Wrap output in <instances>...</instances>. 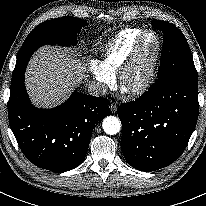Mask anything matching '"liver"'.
<instances>
[{"mask_svg":"<svg viewBox=\"0 0 206 206\" xmlns=\"http://www.w3.org/2000/svg\"><path fill=\"white\" fill-rule=\"evenodd\" d=\"M83 65L73 53L51 46L32 56L25 74L26 88L36 106L51 107L68 98L85 77Z\"/></svg>","mask_w":206,"mask_h":206,"instance_id":"1","label":"liver"}]
</instances>
